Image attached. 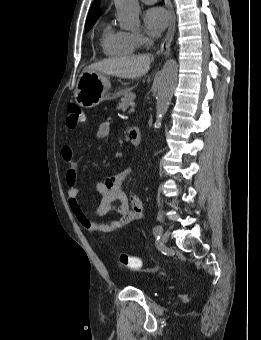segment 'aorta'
Segmentation results:
<instances>
[{
	"mask_svg": "<svg viewBox=\"0 0 261 340\" xmlns=\"http://www.w3.org/2000/svg\"><path fill=\"white\" fill-rule=\"evenodd\" d=\"M114 2L118 21L128 29L138 27L140 24L138 0H114ZM177 78L178 64L174 59H169L163 66L157 88L155 127L158 129L170 106Z\"/></svg>",
	"mask_w": 261,
	"mask_h": 340,
	"instance_id": "obj_1",
	"label": "aorta"
}]
</instances>
